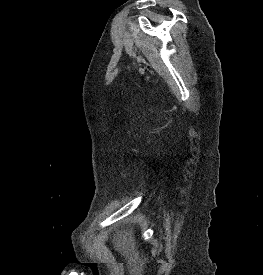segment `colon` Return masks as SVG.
I'll return each instance as SVG.
<instances>
[{
  "mask_svg": "<svg viewBox=\"0 0 263 275\" xmlns=\"http://www.w3.org/2000/svg\"><path fill=\"white\" fill-rule=\"evenodd\" d=\"M141 269H140V267L139 266H135V268H134V271L135 272H139Z\"/></svg>",
  "mask_w": 263,
  "mask_h": 275,
  "instance_id": "colon-1",
  "label": "colon"
}]
</instances>
